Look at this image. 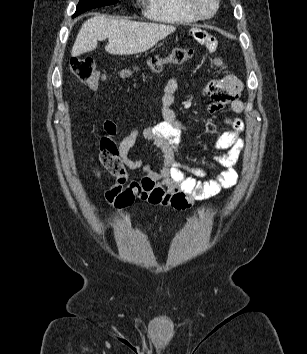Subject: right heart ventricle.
<instances>
[{"instance_id": "e07e8e85", "label": "right heart ventricle", "mask_w": 307, "mask_h": 354, "mask_svg": "<svg viewBox=\"0 0 307 354\" xmlns=\"http://www.w3.org/2000/svg\"><path fill=\"white\" fill-rule=\"evenodd\" d=\"M145 15L157 22L190 24L196 18L186 8L185 0H146Z\"/></svg>"}]
</instances>
